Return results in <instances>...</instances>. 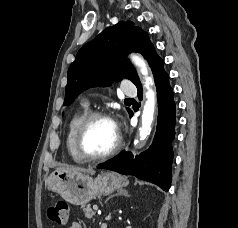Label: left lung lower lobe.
<instances>
[{"label": "left lung lower lobe", "mask_w": 238, "mask_h": 228, "mask_svg": "<svg viewBox=\"0 0 238 228\" xmlns=\"http://www.w3.org/2000/svg\"><path fill=\"white\" fill-rule=\"evenodd\" d=\"M148 63L154 75L159 104L157 131L153 143L147 151L139 156L133 157L131 153L123 151L113 159L99 165L98 168L116 171L124 175H133L168 191L171 186L173 160L171 143L174 139L176 123L173 90L169 84V75L163 67L164 61L156 51L149 57ZM136 87L141 100V83ZM129 114L131 117L133 112L131 111Z\"/></svg>", "instance_id": "obj_1"}]
</instances>
